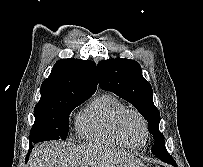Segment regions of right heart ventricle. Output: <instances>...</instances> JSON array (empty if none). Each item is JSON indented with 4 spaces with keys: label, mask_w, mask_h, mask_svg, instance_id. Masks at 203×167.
<instances>
[{
    "label": "right heart ventricle",
    "mask_w": 203,
    "mask_h": 167,
    "mask_svg": "<svg viewBox=\"0 0 203 167\" xmlns=\"http://www.w3.org/2000/svg\"><path fill=\"white\" fill-rule=\"evenodd\" d=\"M125 105L113 94L104 93L93 99L78 115L76 132L86 141L133 148L117 133L115 121Z\"/></svg>",
    "instance_id": "e07e8e85"
}]
</instances>
